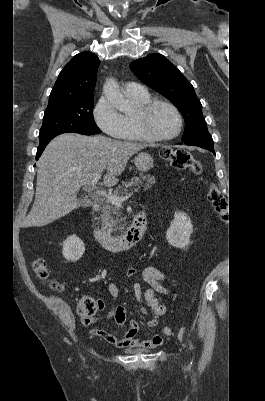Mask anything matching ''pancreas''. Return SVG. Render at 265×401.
<instances>
[{
	"instance_id": "pancreas-1",
	"label": "pancreas",
	"mask_w": 265,
	"mask_h": 401,
	"mask_svg": "<svg viewBox=\"0 0 265 401\" xmlns=\"http://www.w3.org/2000/svg\"><path fill=\"white\" fill-rule=\"evenodd\" d=\"M143 180H146V182H143ZM154 182L155 176H151V174H139V176L131 178L130 182H122V184H119V186L113 190V194L122 196V194H126L128 190L126 186H129L130 190H133V186L139 187V184H143L144 190H148ZM101 213V223L104 229H107L109 233H111V231H124L125 227L122 225V223H124L122 217L123 213L121 209H118L116 205L111 203L110 198H105V201H102Z\"/></svg>"
}]
</instances>
